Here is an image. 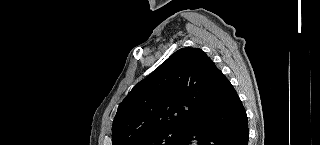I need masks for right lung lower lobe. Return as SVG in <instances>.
Returning <instances> with one entry per match:
<instances>
[{
    "instance_id": "right-lung-lower-lobe-1",
    "label": "right lung lower lobe",
    "mask_w": 320,
    "mask_h": 145,
    "mask_svg": "<svg viewBox=\"0 0 320 145\" xmlns=\"http://www.w3.org/2000/svg\"><path fill=\"white\" fill-rule=\"evenodd\" d=\"M214 108L185 126L174 145H248L247 115L235 89L224 77L217 90Z\"/></svg>"
}]
</instances>
